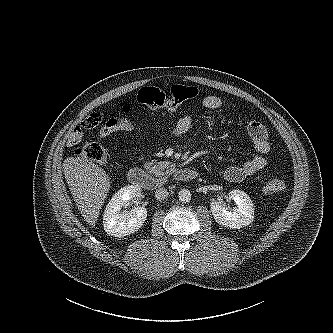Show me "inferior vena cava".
<instances>
[{"instance_id": "602c4592", "label": "inferior vena cava", "mask_w": 333, "mask_h": 333, "mask_svg": "<svg viewBox=\"0 0 333 333\" xmlns=\"http://www.w3.org/2000/svg\"><path fill=\"white\" fill-rule=\"evenodd\" d=\"M169 195V192L165 188H159L155 192V198L159 201L166 199Z\"/></svg>"}]
</instances>
